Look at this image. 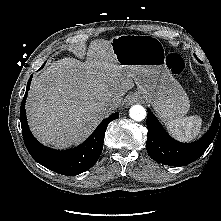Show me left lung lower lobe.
<instances>
[{
    "instance_id": "left-lung-lower-lobe-1",
    "label": "left lung lower lobe",
    "mask_w": 221,
    "mask_h": 221,
    "mask_svg": "<svg viewBox=\"0 0 221 221\" xmlns=\"http://www.w3.org/2000/svg\"><path fill=\"white\" fill-rule=\"evenodd\" d=\"M219 94L221 103L220 91ZM147 128L149 132L146 147L150 157L165 165L184 166L198 159L211 144L216 133H221V117L217 109L208 132L193 143H181L174 140L150 110L147 115Z\"/></svg>"
}]
</instances>
